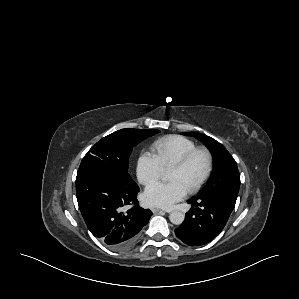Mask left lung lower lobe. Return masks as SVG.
I'll list each match as a JSON object with an SVG mask.
<instances>
[{
  "label": "left lung lower lobe",
  "mask_w": 299,
  "mask_h": 299,
  "mask_svg": "<svg viewBox=\"0 0 299 299\" xmlns=\"http://www.w3.org/2000/svg\"><path fill=\"white\" fill-rule=\"evenodd\" d=\"M192 207L180 227L175 229L176 236L190 246H200L213 240L226 225L235 204L221 196L192 198Z\"/></svg>",
  "instance_id": "1"
}]
</instances>
